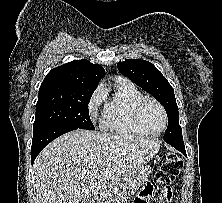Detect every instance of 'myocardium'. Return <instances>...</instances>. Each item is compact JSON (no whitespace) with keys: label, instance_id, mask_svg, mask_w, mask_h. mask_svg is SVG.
<instances>
[{"label":"myocardium","instance_id":"f54148a6","mask_svg":"<svg viewBox=\"0 0 222 203\" xmlns=\"http://www.w3.org/2000/svg\"><path fill=\"white\" fill-rule=\"evenodd\" d=\"M147 103L155 104L161 110V112L163 114L164 125H163L162 129L159 131H156V132L151 131L150 129H148L146 127V125L144 124V122L142 120V110ZM133 116H134V120H135L136 124L139 126V128H141L145 133L150 134V135H154V136L160 135L161 133H163L166 130L167 125H168V115H167L166 109L158 100L151 98V97H143L139 101L136 102V104L133 108Z\"/></svg>","mask_w":222,"mask_h":203}]
</instances>
